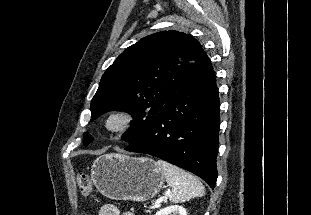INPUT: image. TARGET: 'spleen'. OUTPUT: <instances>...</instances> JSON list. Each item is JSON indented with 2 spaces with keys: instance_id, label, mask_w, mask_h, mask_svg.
Listing matches in <instances>:
<instances>
[{
  "instance_id": "3e777b00",
  "label": "spleen",
  "mask_w": 311,
  "mask_h": 215,
  "mask_svg": "<svg viewBox=\"0 0 311 215\" xmlns=\"http://www.w3.org/2000/svg\"><path fill=\"white\" fill-rule=\"evenodd\" d=\"M156 166L161 170L167 184L172 188L169 200L180 203L205 194L200 180L189 172L164 160H158Z\"/></svg>"
}]
</instances>
